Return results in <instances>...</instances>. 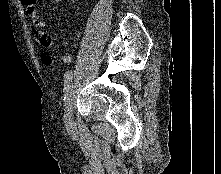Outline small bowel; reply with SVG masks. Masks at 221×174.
<instances>
[{
	"mask_svg": "<svg viewBox=\"0 0 221 174\" xmlns=\"http://www.w3.org/2000/svg\"><path fill=\"white\" fill-rule=\"evenodd\" d=\"M22 2L27 16L32 20L34 26L39 30V41L41 45L46 49L42 53V61L45 64L50 65L55 60V57L48 50L52 45L53 39L49 34L42 31L44 27V22L39 18L37 14L36 0H22ZM62 60L65 64H70L72 62V57L69 54H64L62 56Z\"/></svg>",
	"mask_w": 221,
	"mask_h": 174,
	"instance_id": "c3829d8e",
	"label": "small bowel"
}]
</instances>
